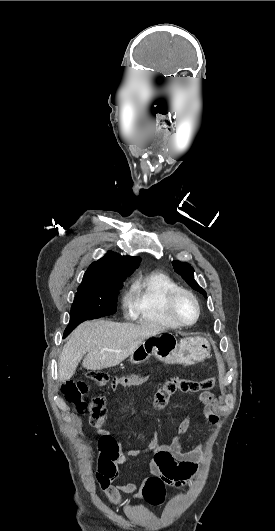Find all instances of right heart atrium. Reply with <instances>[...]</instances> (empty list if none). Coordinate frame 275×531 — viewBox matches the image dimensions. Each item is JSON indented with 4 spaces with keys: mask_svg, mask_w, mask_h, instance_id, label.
<instances>
[{
    "mask_svg": "<svg viewBox=\"0 0 275 531\" xmlns=\"http://www.w3.org/2000/svg\"><path fill=\"white\" fill-rule=\"evenodd\" d=\"M123 305L128 310H132L134 308V295L131 292L125 294L123 298Z\"/></svg>",
    "mask_w": 275,
    "mask_h": 531,
    "instance_id": "d8ad5b80",
    "label": "right heart atrium"
}]
</instances>
